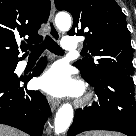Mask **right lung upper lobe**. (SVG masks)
I'll return each mask as SVG.
<instances>
[{
  "label": "right lung upper lobe",
  "mask_w": 136,
  "mask_h": 136,
  "mask_svg": "<svg viewBox=\"0 0 136 136\" xmlns=\"http://www.w3.org/2000/svg\"><path fill=\"white\" fill-rule=\"evenodd\" d=\"M50 0H0V64L18 63V43H38L41 24L50 13ZM20 46L21 48L23 46Z\"/></svg>",
  "instance_id": "cb5924a9"
}]
</instances>
